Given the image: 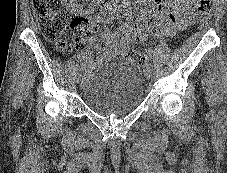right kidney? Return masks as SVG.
Wrapping results in <instances>:
<instances>
[{"label": "right kidney", "instance_id": "1", "mask_svg": "<svg viewBox=\"0 0 227 173\" xmlns=\"http://www.w3.org/2000/svg\"><path fill=\"white\" fill-rule=\"evenodd\" d=\"M64 1H65V6H66L68 11H71V12L82 11V8L78 4L77 0H64Z\"/></svg>", "mask_w": 227, "mask_h": 173}]
</instances>
